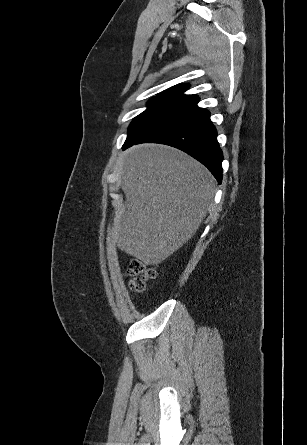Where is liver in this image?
I'll return each mask as SVG.
<instances>
[{"mask_svg": "<svg viewBox=\"0 0 307 445\" xmlns=\"http://www.w3.org/2000/svg\"><path fill=\"white\" fill-rule=\"evenodd\" d=\"M125 210L114 220L113 243L146 265L183 247L213 206L215 178L186 152L141 144L125 152Z\"/></svg>", "mask_w": 307, "mask_h": 445, "instance_id": "1", "label": "liver"}]
</instances>
